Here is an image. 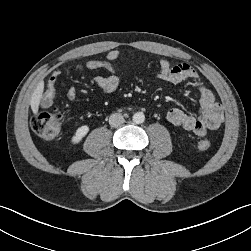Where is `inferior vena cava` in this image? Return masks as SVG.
<instances>
[{
  "instance_id": "obj_1",
  "label": "inferior vena cava",
  "mask_w": 251,
  "mask_h": 251,
  "mask_svg": "<svg viewBox=\"0 0 251 251\" xmlns=\"http://www.w3.org/2000/svg\"><path fill=\"white\" fill-rule=\"evenodd\" d=\"M123 123H124V118L120 113L112 114L109 118V124L112 127H117Z\"/></svg>"
}]
</instances>
